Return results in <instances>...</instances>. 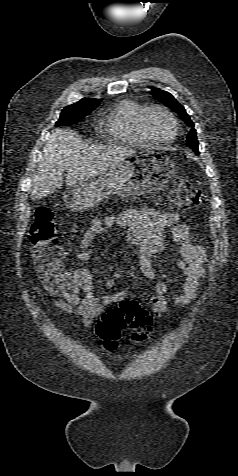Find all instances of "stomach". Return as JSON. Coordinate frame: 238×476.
I'll list each match as a JSON object with an SVG mask.
<instances>
[{
    "instance_id": "0dacf381",
    "label": "stomach",
    "mask_w": 238,
    "mask_h": 476,
    "mask_svg": "<svg viewBox=\"0 0 238 476\" xmlns=\"http://www.w3.org/2000/svg\"><path fill=\"white\" fill-rule=\"evenodd\" d=\"M175 172L174 162L161 151H135L99 178L69 186L63 200L71 211L83 212L110 195H154Z\"/></svg>"
}]
</instances>
